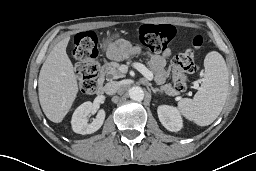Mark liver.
Returning a JSON list of instances; mask_svg holds the SVG:
<instances>
[{"label": "liver", "mask_w": 256, "mask_h": 171, "mask_svg": "<svg viewBox=\"0 0 256 171\" xmlns=\"http://www.w3.org/2000/svg\"><path fill=\"white\" fill-rule=\"evenodd\" d=\"M68 38L58 42L42 65L38 80L39 101L46 117L60 123L78 93L77 78L66 53Z\"/></svg>", "instance_id": "liver-1"}]
</instances>
